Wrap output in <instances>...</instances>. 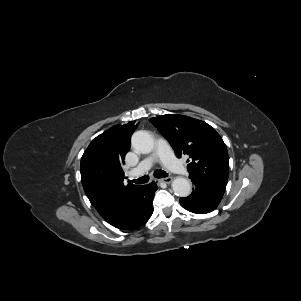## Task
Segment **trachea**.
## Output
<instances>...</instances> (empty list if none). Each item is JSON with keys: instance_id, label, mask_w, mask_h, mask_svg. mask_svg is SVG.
Here are the masks:
<instances>
[{"instance_id": "trachea-1", "label": "trachea", "mask_w": 301, "mask_h": 301, "mask_svg": "<svg viewBox=\"0 0 301 301\" xmlns=\"http://www.w3.org/2000/svg\"><path fill=\"white\" fill-rule=\"evenodd\" d=\"M154 176L156 178H166L168 176V174L162 170H157L154 172ZM148 181H149V177L147 175L142 176L138 179L132 180V182L136 183V184H144V183H147Z\"/></svg>"}]
</instances>
